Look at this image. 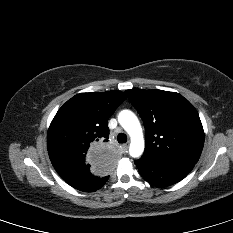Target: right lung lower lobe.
<instances>
[{
    "mask_svg": "<svg viewBox=\"0 0 233 233\" xmlns=\"http://www.w3.org/2000/svg\"><path fill=\"white\" fill-rule=\"evenodd\" d=\"M109 176L97 177L95 175L78 177L70 180H65L73 188L84 191L93 192L101 188L108 180Z\"/></svg>",
    "mask_w": 233,
    "mask_h": 233,
    "instance_id": "1",
    "label": "right lung lower lobe"
}]
</instances>
